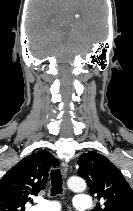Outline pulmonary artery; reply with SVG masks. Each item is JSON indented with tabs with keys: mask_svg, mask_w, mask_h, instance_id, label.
<instances>
[{
	"mask_svg": "<svg viewBox=\"0 0 133 211\" xmlns=\"http://www.w3.org/2000/svg\"><path fill=\"white\" fill-rule=\"evenodd\" d=\"M74 206L79 211H85L92 208V200L88 195L77 194L74 197ZM30 211H60V205L55 201L39 199L38 204Z\"/></svg>",
	"mask_w": 133,
	"mask_h": 211,
	"instance_id": "1",
	"label": "pulmonary artery"
}]
</instances>
